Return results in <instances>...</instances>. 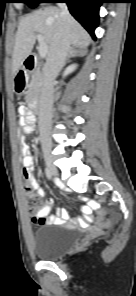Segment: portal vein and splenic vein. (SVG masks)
I'll use <instances>...</instances> for the list:
<instances>
[{
  "mask_svg": "<svg viewBox=\"0 0 136 296\" xmlns=\"http://www.w3.org/2000/svg\"><path fill=\"white\" fill-rule=\"evenodd\" d=\"M36 38H37L38 43H39V49H38L39 56L41 58H45L47 53H48V46L45 43L44 38H43V36L41 34H37Z\"/></svg>",
  "mask_w": 136,
  "mask_h": 296,
  "instance_id": "1",
  "label": "portal vein and splenic vein"
}]
</instances>
